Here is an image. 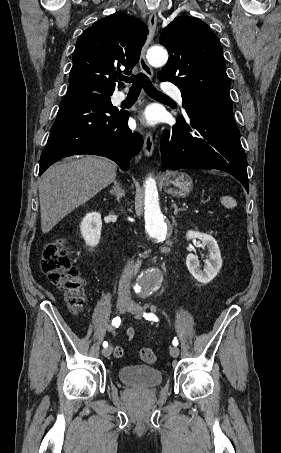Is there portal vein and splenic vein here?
I'll use <instances>...</instances> for the list:
<instances>
[{
	"mask_svg": "<svg viewBox=\"0 0 281 453\" xmlns=\"http://www.w3.org/2000/svg\"><path fill=\"white\" fill-rule=\"evenodd\" d=\"M185 207L187 208L188 206L186 205ZM193 210L195 211V213H199L200 212L199 210H196L195 208ZM207 212L210 213V215H213V214L215 215L216 214L213 210H208Z\"/></svg>",
	"mask_w": 281,
	"mask_h": 453,
	"instance_id": "18ae733b",
	"label": "portal vein and splenic vein"
}]
</instances>
